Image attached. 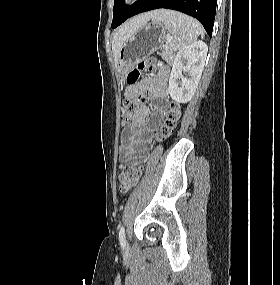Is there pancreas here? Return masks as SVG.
<instances>
[{"mask_svg":"<svg viewBox=\"0 0 280 285\" xmlns=\"http://www.w3.org/2000/svg\"><path fill=\"white\" fill-rule=\"evenodd\" d=\"M162 58L167 61V63L171 64L173 62L174 54L173 51L165 50L161 54Z\"/></svg>","mask_w":280,"mask_h":285,"instance_id":"1","label":"pancreas"}]
</instances>
